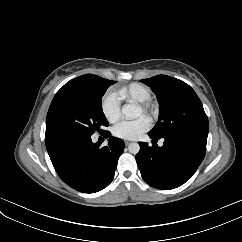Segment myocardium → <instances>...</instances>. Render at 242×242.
Masks as SVG:
<instances>
[{
    "label": "myocardium",
    "instance_id": "obj_1",
    "mask_svg": "<svg viewBox=\"0 0 242 242\" xmlns=\"http://www.w3.org/2000/svg\"><path fill=\"white\" fill-rule=\"evenodd\" d=\"M138 107L140 108L142 114L150 118H153L156 115V106L150 101L139 103Z\"/></svg>",
    "mask_w": 242,
    "mask_h": 242
}]
</instances>
